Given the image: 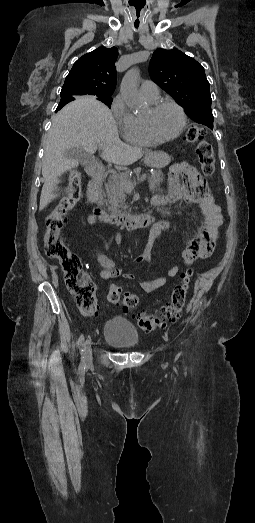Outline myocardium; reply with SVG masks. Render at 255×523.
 <instances>
[{"label":"myocardium","mask_w":255,"mask_h":523,"mask_svg":"<svg viewBox=\"0 0 255 523\" xmlns=\"http://www.w3.org/2000/svg\"><path fill=\"white\" fill-rule=\"evenodd\" d=\"M164 106H172L178 111V113L181 117V124H180L178 131L174 135H172L170 137H166V138H161V137H158L152 129L150 115ZM149 111H150V115L144 116L142 118V124H143V129H144L146 135L151 139V141H153L155 143H166V142L175 140L183 133V131L186 127L187 118H186V114H185L184 110L177 103H175L173 101L159 100L156 103L151 105V107L149 108Z\"/></svg>","instance_id":"myocardium-1"}]
</instances>
